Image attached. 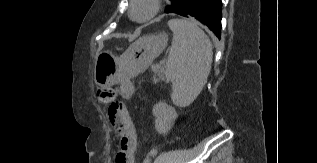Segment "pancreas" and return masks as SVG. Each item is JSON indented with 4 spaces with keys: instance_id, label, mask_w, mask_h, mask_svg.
<instances>
[{
    "instance_id": "pancreas-1",
    "label": "pancreas",
    "mask_w": 317,
    "mask_h": 163,
    "mask_svg": "<svg viewBox=\"0 0 317 163\" xmlns=\"http://www.w3.org/2000/svg\"><path fill=\"white\" fill-rule=\"evenodd\" d=\"M152 71L155 73V76H153L154 82H159L165 79L164 70L159 65H153Z\"/></svg>"
}]
</instances>
